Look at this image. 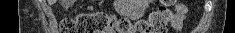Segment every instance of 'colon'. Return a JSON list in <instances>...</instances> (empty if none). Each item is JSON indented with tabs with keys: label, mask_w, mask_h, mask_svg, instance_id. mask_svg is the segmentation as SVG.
<instances>
[{
	"label": "colon",
	"mask_w": 235,
	"mask_h": 33,
	"mask_svg": "<svg viewBox=\"0 0 235 33\" xmlns=\"http://www.w3.org/2000/svg\"><path fill=\"white\" fill-rule=\"evenodd\" d=\"M174 0H164L147 20L132 24L126 18H116L105 12L81 13L61 22L63 33H166L173 17L170 6Z\"/></svg>",
	"instance_id": "obj_1"
}]
</instances>
